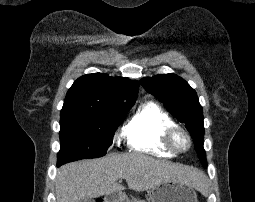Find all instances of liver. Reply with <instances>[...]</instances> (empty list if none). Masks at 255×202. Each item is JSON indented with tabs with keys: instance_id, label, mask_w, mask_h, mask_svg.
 <instances>
[{
	"instance_id": "obj_1",
	"label": "liver",
	"mask_w": 255,
	"mask_h": 202,
	"mask_svg": "<svg viewBox=\"0 0 255 202\" xmlns=\"http://www.w3.org/2000/svg\"><path fill=\"white\" fill-rule=\"evenodd\" d=\"M125 179L129 189L145 191L165 181L177 180L202 189L205 177L198 169L161 161L140 153L109 155L99 159L69 163L58 169L57 202H81L119 192L117 183Z\"/></svg>"
}]
</instances>
